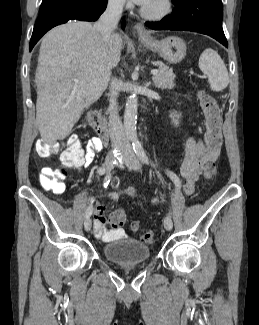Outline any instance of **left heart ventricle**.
<instances>
[{
	"mask_svg": "<svg viewBox=\"0 0 259 325\" xmlns=\"http://www.w3.org/2000/svg\"><path fill=\"white\" fill-rule=\"evenodd\" d=\"M158 1H159V0H152V1L147 5V7H148L149 9H152V10L157 9L158 6H159Z\"/></svg>",
	"mask_w": 259,
	"mask_h": 325,
	"instance_id": "1",
	"label": "left heart ventricle"
}]
</instances>
